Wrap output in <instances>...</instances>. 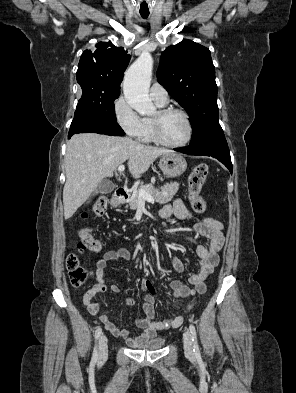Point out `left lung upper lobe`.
Segmentation results:
<instances>
[{"label": "left lung upper lobe", "instance_id": "left-lung-upper-lobe-1", "mask_svg": "<svg viewBox=\"0 0 296 393\" xmlns=\"http://www.w3.org/2000/svg\"><path fill=\"white\" fill-rule=\"evenodd\" d=\"M157 77L190 116L191 146L224 136L218 121L215 68L208 48L190 40L169 46L161 54Z\"/></svg>", "mask_w": 296, "mask_h": 393}]
</instances>
